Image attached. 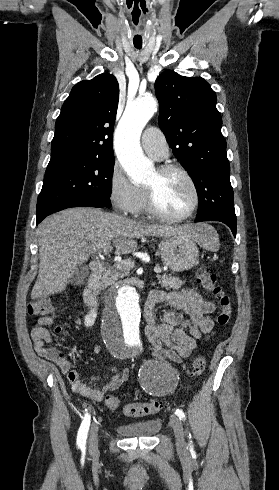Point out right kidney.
<instances>
[{
	"mask_svg": "<svg viewBox=\"0 0 279 490\" xmlns=\"http://www.w3.org/2000/svg\"><path fill=\"white\" fill-rule=\"evenodd\" d=\"M96 318L97 314L95 310H90L87 316H84V326H86V328H91V326H94Z\"/></svg>",
	"mask_w": 279,
	"mask_h": 490,
	"instance_id": "1",
	"label": "right kidney"
}]
</instances>
